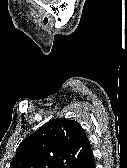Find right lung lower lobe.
Returning <instances> with one entry per match:
<instances>
[{
  "label": "right lung lower lobe",
  "mask_w": 127,
  "mask_h": 168,
  "mask_svg": "<svg viewBox=\"0 0 127 168\" xmlns=\"http://www.w3.org/2000/svg\"><path fill=\"white\" fill-rule=\"evenodd\" d=\"M74 168H95V163L93 157L81 162L76 165Z\"/></svg>",
  "instance_id": "right-lung-lower-lobe-1"
}]
</instances>
